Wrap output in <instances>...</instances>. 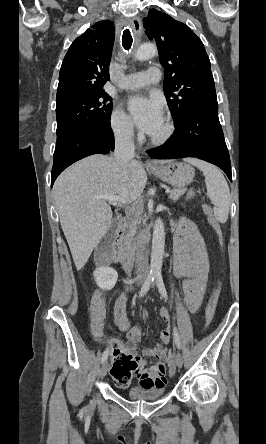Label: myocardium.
<instances>
[{
    "label": "myocardium",
    "mask_w": 266,
    "mask_h": 444,
    "mask_svg": "<svg viewBox=\"0 0 266 444\" xmlns=\"http://www.w3.org/2000/svg\"><path fill=\"white\" fill-rule=\"evenodd\" d=\"M174 133V125L170 120L165 121V130L160 136H150V142L155 146L165 144L170 140Z\"/></svg>",
    "instance_id": "f54148a6"
}]
</instances>
